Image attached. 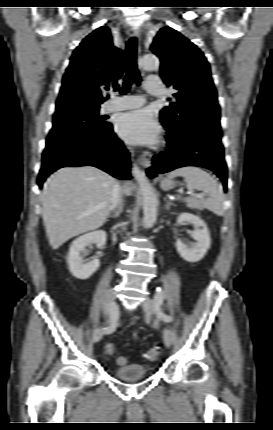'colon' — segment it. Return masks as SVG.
I'll return each mask as SVG.
<instances>
[{
  "instance_id": "colon-1",
  "label": "colon",
  "mask_w": 273,
  "mask_h": 430,
  "mask_svg": "<svg viewBox=\"0 0 273 430\" xmlns=\"http://www.w3.org/2000/svg\"><path fill=\"white\" fill-rule=\"evenodd\" d=\"M105 351L108 354H113L114 351H115L114 345L112 343L107 344L105 346ZM159 353H160V347L159 346H154V347L150 348L147 352H145L143 354V357L146 360L153 361V360L157 359V357L159 356ZM115 362H116L117 365L123 366V365L127 364V359L124 356H117L116 359H115Z\"/></svg>"
}]
</instances>
